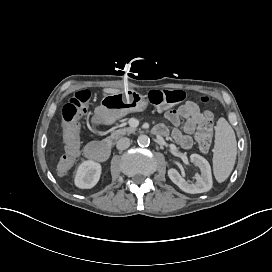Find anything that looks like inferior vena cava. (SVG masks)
I'll return each mask as SVG.
<instances>
[{
  "label": "inferior vena cava",
  "mask_w": 272,
  "mask_h": 272,
  "mask_svg": "<svg viewBox=\"0 0 272 272\" xmlns=\"http://www.w3.org/2000/svg\"><path fill=\"white\" fill-rule=\"evenodd\" d=\"M130 146V140L127 137H122L117 141V149L125 150Z\"/></svg>",
  "instance_id": "obj_1"
}]
</instances>
